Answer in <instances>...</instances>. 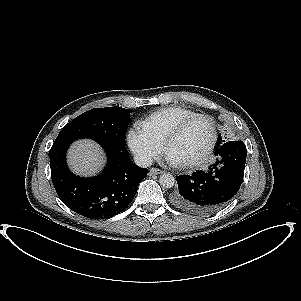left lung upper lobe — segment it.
<instances>
[{"label":"left lung upper lobe","mask_w":301,"mask_h":301,"mask_svg":"<svg viewBox=\"0 0 301 301\" xmlns=\"http://www.w3.org/2000/svg\"><path fill=\"white\" fill-rule=\"evenodd\" d=\"M223 142H224V140L222 141V138H221V135H220L216 147L220 146Z\"/></svg>","instance_id":"obj_1"}]
</instances>
